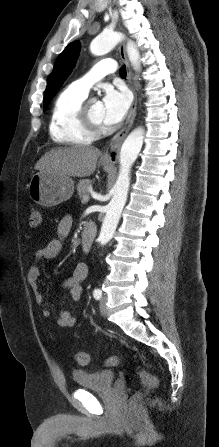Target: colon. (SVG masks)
I'll return each mask as SVG.
<instances>
[{
  "instance_id": "obj_1",
  "label": "colon",
  "mask_w": 219,
  "mask_h": 447,
  "mask_svg": "<svg viewBox=\"0 0 219 447\" xmlns=\"http://www.w3.org/2000/svg\"><path fill=\"white\" fill-rule=\"evenodd\" d=\"M42 221V215L41 211L36 206H31L29 208V226L32 228H36L41 224ZM76 361L81 365H86L89 363V355L86 352L79 351L75 355ZM123 358L120 356H111L109 357L105 364L108 366H117L121 365L123 363ZM138 375L141 379V390L135 395L134 399L139 400L142 398V396L146 393H148L150 390L155 388L158 385V379L157 377L152 374L151 372L144 370V369H138L137 370Z\"/></svg>"
}]
</instances>
